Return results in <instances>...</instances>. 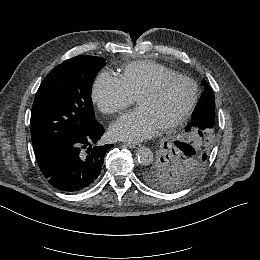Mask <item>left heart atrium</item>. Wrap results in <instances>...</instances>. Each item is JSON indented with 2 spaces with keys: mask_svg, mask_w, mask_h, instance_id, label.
Instances as JSON below:
<instances>
[{
  "mask_svg": "<svg viewBox=\"0 0 260 260\" xmlns=\"http://www.w3.org/2000/svg\"><path fill=\"white\" fill-rule=\"evenodd\" d=\"M156 126L145 109L137 107L123 114L110 127L115 139L138 142L151 136Z\"/></svg>",
  "mask_w": 260,
  "mask_h": 260,
  "instance_id": "1",
  "label": "left heart atrium"
}]
</instances>
